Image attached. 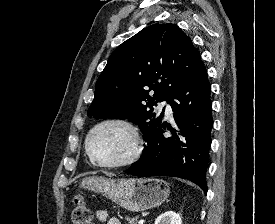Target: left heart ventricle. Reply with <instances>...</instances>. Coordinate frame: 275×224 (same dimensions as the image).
<instances>
[{
    "instance_id": "left-heart-ventricle-1",
    "label": "left heart ventricle",
    "mask_w": 275,
    "mask_h": 224,
    "mask_svg": "<svg viewBox=\"0 0 275 224\" xmlns=\"http://www.w3.org/2000/svg\"><path fill=\"white\" fill-rule=\"evenodd\" d=\"M90 148L94 156L104 163H115L127 158L133 150L129 131L118 124L99 128L91 137Z\"/></svg>"
}]
</instances>
